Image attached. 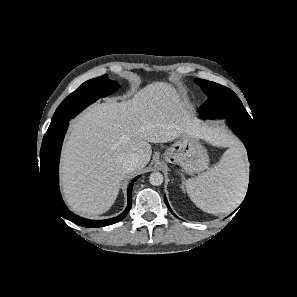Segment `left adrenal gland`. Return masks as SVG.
Listing matches in <instances>:
<instances>
[{
	"instance_id": "1",
	"label": "left adrenal gland",
	"mask_w": 297,
	"mask_h": 297,
	"mask_svg": "<svg viewBox=\"0 0 297 297\" xmlns=\"http://www.w3.org/2000/svg\"><path fill=\"white\" fill-rule=\"evenodd\" d=\"M182 180H183V181H182V184H183V185H182V189H183V191L185 192V189H184V183H185L184 180H185V178H184V176H182Z\"/></svg>"
}]
</instances>
